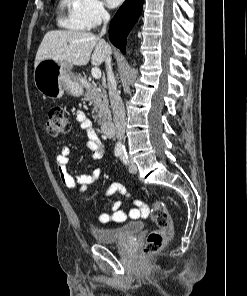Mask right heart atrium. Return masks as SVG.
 Returning a JSON list of instances; mask_svg holds the SVG:
<instances>
[{
    "label": "right heart atrium",
    "mask_w": 247,
    "mask_h": 296,
    "mask_svg": "<svg viewBox=\"0 0 247 296\" xmlns=\"http://www.w3.org/2000/svg\"><path fill=\"white\" fill-rule=\"evenodd\" d=\"M110 16L102 0H81L79 18L87 28H95Z\"/></svg>",
    "instance_id": "1"
}]
</instances>
